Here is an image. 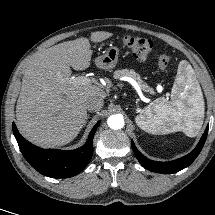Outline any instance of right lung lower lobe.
<instances>
[{"label":"right lung lower lobe","mask_w":215,"mask_h":215,"mask_svg":"<svg viewBox=\"0 0 215 215\" xmlns=\"http://www.w3.org/2000/svg\"><path fill=\"white\" fill-rule=\"evenodd\" d=\"M99 124L100 121L90 132L84 146L71 151L39 148L24 139L14 123L12 129L23 156L34 169L48 177L67 178L81 172L90 162L93 153V137Z\"/></svg>","instance_id":"right-lung-lower-lobe-1"}]
</instances>
